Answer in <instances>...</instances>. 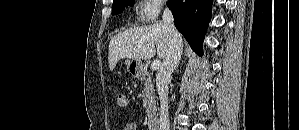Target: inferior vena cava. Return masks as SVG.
Returning a JSON list of instances; mask_svg holds the SVG:
<instances>
[{"label": "inferior vena cava", "mask_w": 299, "mask_h": 130, "mask_svg": "<svg viewBox=\"0 0 299 130\" xmlns=\"http://www.w3.org/2000/svg\"><path fill=\"white\" fill-rule=\"evenodd\" d=\"M163 25L169 36V51L156 75V87L161 102L158 129L170 130L168 85L171 80V74L181 58L183 44L182 37L175 28L173 14L169 8H165L163 12Z\"/></svg>", "instance_id": "1"}]
</instances>
